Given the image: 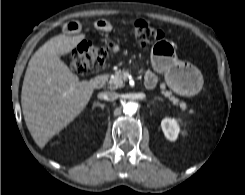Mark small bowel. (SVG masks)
<instances>
[{
	"instance_id": "1",
	"label": "small bowel",
	"mask_w": 245,
	"mask_h": 195,
	"mask_svg": "<svg viewBox=\"0 0 245 195\" xmlns=\"http://www.w3.org/2000/svg\"><path fill=\"white\" fill-rule=\"evenodd\" d=\"M95 28L98 29L99 31L105 32V33H110L112 31V25L109 21L104 20V19H99L95 23ZM80 30V24L76 21H71L63 26V31L64 33L71 35L75 34ZM119 51V47L117 45H114L112 52L117 53ZM147 80H153L156 82V78L153 74L149 73L147 75Z\"/></svg>"
}]
</instances>
